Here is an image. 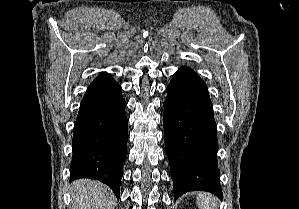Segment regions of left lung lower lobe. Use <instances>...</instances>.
I'll return each mask as SVG.
<instances>
[{
    "label": "left lung lower lobe",
    "instance_id": "obj_1",
    "mask_svg": "<svg viewBox=\"0 0 299 209\" xmlns=\"http://www.w3.org/2000/svg\"><path fill=\"white\" fill-rule=\"evenodd\" d=\"M163 124L174 199L195 190L222 198L213 105L205 82L187 67L167 87Z\"/></svg>",
    "mask_w": 299,
    "mask_h": 209
}]
</instances>
